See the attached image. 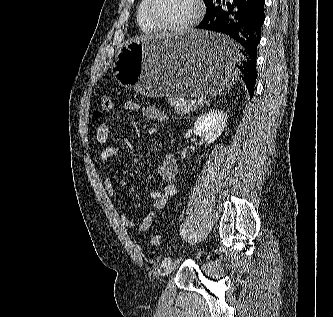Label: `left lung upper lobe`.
Masks as SVG:
<instances>
[{
    "instance_id": "obj_1",
    "label": "left lung upper lobe",
    "mask_w": 333,
    "mask_h": 317,
    "mask_svg": "<svg viewBox=\"0 0 333 317\" xmlns=\"http://www.w3.org/2000/svg\"><path fill=\"white\" fill-rule=\"evenodd\" d=\"M212 0H204L205 5L207 6Z\"/></svg>"
}]
</instances>
